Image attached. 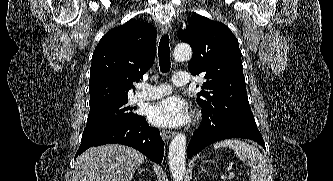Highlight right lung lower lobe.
Returning a JSON list of instances; mask_svg holds the SVG:
<instances>
[{
  "instance_id": "right-lung-lower-lobe-1",
  "label": "right lung lower lobe",
  "mask_w": 333,
  "mask_h": 181,
  "mask_svg": "<svg viewBox=\"0 0 333 181\" xmlns=\"http://www.w3.org/2000/svg\"><path fill=\"white\" fill-rule=\"evenodd\" d=\"M108 143L133 147L158 164L163 159L164 142L160 132L150 127L143 116L137 115L128 121L83 133L76 157L89 147Z\"/></svg>"
}]
</instances>
